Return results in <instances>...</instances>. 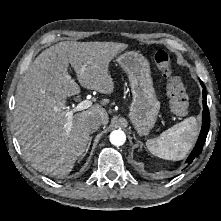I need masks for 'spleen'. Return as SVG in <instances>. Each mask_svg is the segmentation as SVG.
<instances>
[{
  "mask_svg": "<svg viewBox=\"0 0 221 221\" xmlns=\"http://www.w3.org/2000/svg\"><path fill=\"white\" fill-rule=\"evenodd\" d=\"M197 135V120L191 116L162 132L156 139L147 140L146 146L159 158L177 161L187 155Z\"/></svg>",
  "mask_w": 221,
  "mask_h": 221,
  "instance_id": "spleen-1",
  "label": "spleen"
}]
</instances>
